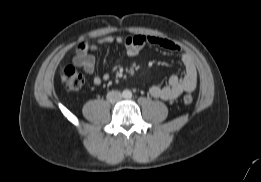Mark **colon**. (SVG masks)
I'll list each match as a JSON object with an SVG mask.
<instances>
[{
    "instance_id": "1",
    "label": "colon",
    "mask_w": 261,
    "mask_h": 182,
    "mask_svg": "<svg viewBox=\"0 0 261 182\" xmlns=\"http://www.w3.org/2000/svg\"><path fill=\"white\" fill-rule=\"evenodd\" d=\"M63 78L66 88L71 92L81 91L86 85V78L81 73L77 72L72 67H66L63 70ZM183 102L187 105L193 102V96L186 94L183 97Z\"/></svg>"
}]
</instances>
